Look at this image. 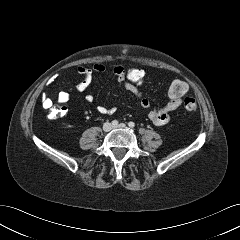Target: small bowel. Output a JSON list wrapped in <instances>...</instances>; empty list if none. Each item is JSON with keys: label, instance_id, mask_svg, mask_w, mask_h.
Here are the masks:
<instances>
[{"label": "small bowel", "instance_id": "1", "mask_svg": "<svg viewBox=\"0 0 240 240\" xmlns=\"http://www.w3.org/2000/svg\"><path fill=\"white\" fill-rule=\"evenodd\" d=\"M105 66L97 62L92 67H86L79 65L76 67V73L82 77V80L75 85V90L79 93L85 92L93 81L94 74H103L105 72ZM112 73L116 80L124 87L126 91L139 99L140 105L143 108L149 109V119L157 126H162L170 121V113L178 109L182 103V98H170V100L161 107H153L150 99L144 96L140 90L133 86L126 80L125 67L117 64L113 67ZM69 100V95L66 92H60L58 94V102L66 104ZM85 100L89 103L94 101V96L91 93L85 95ZM42 106L46 109L52 106V100L46 95L42 96ZM64 110L65 107H62ZM97 111L100 114H113L116 111L115 107H107L104 105H98Z\"/></svg>", "mask_w": 240, "mask_h": 240}]
</instances>
